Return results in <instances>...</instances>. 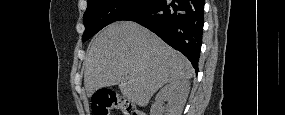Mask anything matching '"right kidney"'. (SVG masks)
<instances>
[{
  "label": "right kidney",
  "mask_w": 285,
  "mask_h": 115,
  "mask_svg": "<svg viewBox=\"0 0 285 115\" xmlns=\"http://www.w3.org/2000/svg\"><path fill=\"white\" fill-rule=\"evenodd\" d=\"M190 90L187 80L174 81L164 86L156 95L155 103L151 106V115H161L164 101L169 102L165 115H180Z\"/></svg>",
  "instance_id": "ca27d5eb"
}]
</instances>
